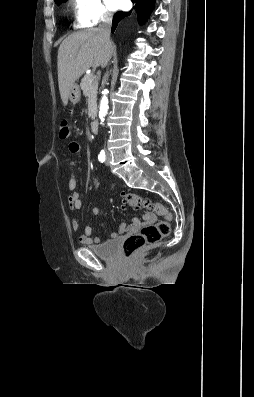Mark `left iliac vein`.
<instances>
[{
    "label": "left iliac vein",
    "mask_w": 254,
    "mask_h": 397,
    "mask_svg": "<svg viewBox=\"0 0 254 397\" xmlns=\"http://www.w3.org/2000/svg\"><path fill=\"white\" fill-rule=\"evenodd\" d=\"M110 159H111L110 153L107 152V158H106V165L107 166L109 165Z\"/></svg>",
    "instance_id": "left-iliac-vein-1"
}]
</instances>
